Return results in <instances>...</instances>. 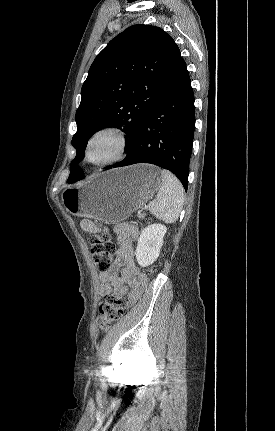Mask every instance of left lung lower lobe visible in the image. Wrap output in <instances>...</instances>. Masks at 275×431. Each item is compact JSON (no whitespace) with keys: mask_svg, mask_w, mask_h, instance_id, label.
Returning <instances> with one entry per match:
<instances>
[{"mask_svg":"<svg viewBox=\"0 0 275 431\" xmlns=\"http://www.w3.org/2000/svg\"><path fill=\"white\" fill-rule=\"evenodd\" d=\"M194 129L193 90L186 63L180 57L126 158L107 168L151 163L174 173L186 190ZM84 177L78 173L67 182L74 183Z\"/></svg>","mask_w":275,"mask_h":431,"instance_id":"left-lung-lower-lobe-1","label":"left lung lower lobe"}]
</instances>
